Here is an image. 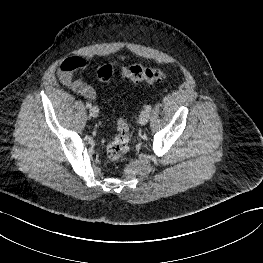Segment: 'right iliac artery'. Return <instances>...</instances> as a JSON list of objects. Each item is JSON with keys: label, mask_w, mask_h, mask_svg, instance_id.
<instances>
[{"label": "right iliac artery", "mask_w": 263, "mask_h": 263, "mask_svg": "<svg viewBox=\"0 0 263 263\" xmlns=\"http://www.w3.org/2000/svg\"><path fill=\"white\" fill-rule=\"evenodd\" d=\"M86 107H87V108H91V107H92V104L88 102V103H86Z\"/></svg>", "instance_id": "right-iliac-artery-1"}]
</instances>
